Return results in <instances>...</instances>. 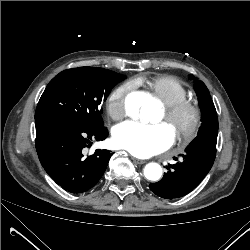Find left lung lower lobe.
Segmentation results:
<instances>
[{"label": "left lung lower lobe", "mask_w": 250, "mask_h": 250, "mask_svg": "<svg viewBox=\"0 0 250 250\" xmlns=\"http://www.w3.org/2000/svg\"><path fill=\"white\" fill-rule=\"evenodd\" d=\"M217 134L213 131L198 136L181 155L183 159L167 167L168 172L159 182L150 184V189L160 197L173 199L195 188L214 163Z\"/></svg>", "instance_id": "left-lung-lower-lobe-1"}]
</instances>
